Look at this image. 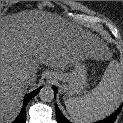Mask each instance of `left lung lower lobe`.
Segmentation results:
<instances>
[{
  "label": "left lung lower lobe",
  "mask_w": 123,
  "mask_h": 123,
  "mask_svg": "<svg viewBox=\"0 0 123 123\" xmlns=\"http://www.w3.org/2000/svg\"><path fill=\"white\" fill-rule=\"evenodd\" d=\"M53 90H54V93L56 95V93L58 92L57 88L56 87H52ZM122 106L123 104L117 109V111L112 114L111 116H109L108 118L102 120V121H99L97 123H114L115 120H116V117L117 115L120 113L121 109H122ZM55 108H56V116H57V122L58 123H71L69 122L65 117L64 115L61 113L60 109L58 108L57 105H55Z\"/></svg>",
  "instance_id": "obj_1"
}]
</instances>
